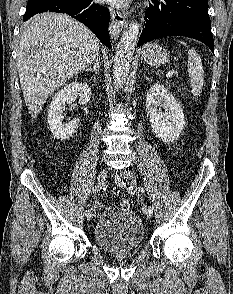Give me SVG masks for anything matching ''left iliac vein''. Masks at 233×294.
I'll return each mask as SVG.
<instances>
[{
	"mask_svg": "<svg viewBox=\"0 0 233 294\" xmlns=\"http://www.w3.org/2000/svg\"><path fill=\"white\" fill-rule=\"evenodd\" d=\"M114 177H115V181H116L117 185L120 188H124L126 186V183H125L123 178L124 177H130V180H131L130 185L133 187V189L135 191L137 190V182H136V180L127 171L118 172V173L115 174ZM140 205H141V212H144L147 217H151L152 213H150L148 211V207H146L145 202L141 201Z\"/></svg>",
	"mask_w": 233,
	"mask_h": 294,
	"instance_id": "left-iliac-vein-1",
	"label": "left iliac vein"
}]
</instances>
